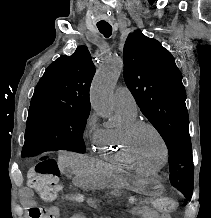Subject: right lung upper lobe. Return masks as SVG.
<instances>
[{
  "label": "right lung upper lobe",
  "instance_id": "right-lung-upper-lobe-1",
  "mask_svg": "<svg viewBox=\"0 0 211 218\" xmlns=\"http://www.w3.org/2000/svg\"><path fill=\"white\" fill-rule=\"evenodd\" d=\"M95 74L90 53L79 46L71 56L55 60L39 80L31 106L51 105L90 110L89 89Z\"/></svg>",
  "mask_w": 211,
  "mask_h": 218
}]
</instances>
